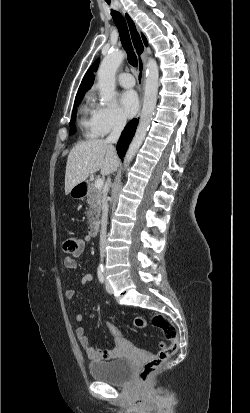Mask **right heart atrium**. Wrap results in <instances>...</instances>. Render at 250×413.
<instances>
[{"label": "right heart atrium", "mask_w": 250, "mask_h": 413, "mask_svg": "<svg viewBox=\"0 0 250 413\" xmlns=\"http://www.w3.org/2000/svg\"><path fill=\"white\" fill-rule=\"evenodd\" d=\"M94 120L97 133L100 136L119 132L127 123L125 115L115 103L98 104L95 107Z\"/></svg>", "instance_id": "d8ad5b80"}]
</instances>
